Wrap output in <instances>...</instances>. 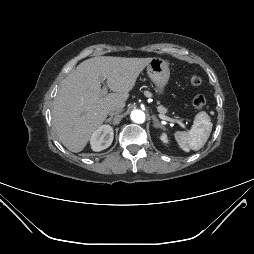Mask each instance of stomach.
<instances>
[{"label": "stomach", "instance_id": "stomach-1", "mask_svg": "<svg viewBox=\"0 0 254 254\" xmlns=\"http://www.w3.org/2000/svg\"><path fill=\"white\" fill-rule=\"evenodd\" d=\"M147 74L156 86V93L163 95L170 77V69L168 63L162 58H152V60L147 65Z\"/></svg>", "mask_w": 254, "mask_h": 254}]
</instances>
